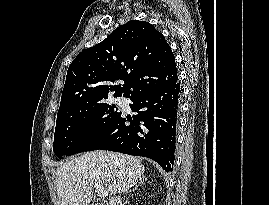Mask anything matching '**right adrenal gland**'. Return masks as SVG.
<instances>
[{
	"label": "right adrenal gland",
	"instance_id": "right-adrenal-gland-1",
	"mask_svg": "<svg viewBox=\"0 0 269 205\" xmlns=\"http://www.w3.org/2000/svg\"><path fill=\"white\" fill-rule=\"evenodd\" d=\"M144 179H146V178H143L142 180H144ZM142 180H141V181H142ZM137 188H138V185H135L133 188H130L129 191H130V192H131V190L134 191V190H136Z\"/></svg>",
	"mask_w": 269,
	"mask_h": 205
}]
</instances>
